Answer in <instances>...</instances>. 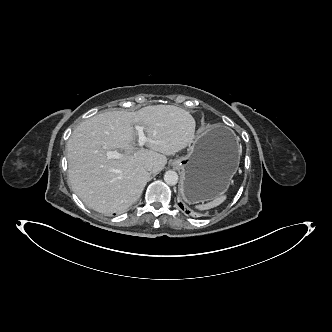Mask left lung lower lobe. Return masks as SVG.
I'll list each match as a JSON object with an SVG mask.
<instances>
[{
  "mask_svg": "<svg viewBox=\"0 0 332 332\" xmlns=\"http://www.w3.org/2000/svg\"><path fill=\"white\" fill-rule=\"evenodd\" d=\"M179 206L182 208V209H184V207H183V204L182 203H180L179 204ZM187 213H188V211H186Z\"/></svg>",
  "mask_w": 332,
  "mask_h": 332,
  "instance_id": "obj_1",
  "label": "left lung lower lobe"
}]
</instances>
